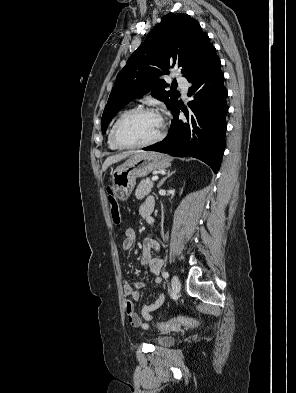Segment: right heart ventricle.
<instances>
[{
	"mask_svg": "<svg viewBox=\"0 0 296 393\" xmlns=\"http://www.w3.org/2000/svg\"><path fill=\"white\" fill-rule=\"evenodd\" d=\"M125 112H127V110H125V111H123L122 113H120V114L115 118V120L113 121V123L111 124V126H110V128H109V131H108V134H107V144H108V147H109L111 150H119V149H121V148L117 147V146L113 143V141H112V130H113V127H114L115 123L117 122V120H118Z\"/></svg>",
	"mask_w": 296,
	"mask_h": 393,
	"instance_id": "obj_1",
	"label": "right heart ventricle"
}]
</instances>
